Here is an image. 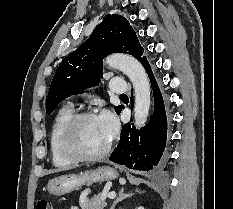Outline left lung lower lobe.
Here are the masks:
<instances>
[{
    "label": "left lung lower lobe",
    "mask_w": 233,
    "mask_h": 209,
    "mask_svg": "<svg viewBox=\"0 0 233 209\" xmlns=\"http://www.w3.org/2000/svg\"><path fill=\"white\" fill-rule=\"evenodd\" d=\"M140 62L149 76L153 89L154 113L140 131L135 128L134 124L123 125L120 141L109 160L130 169L149 171L159 164L164 152L167 139V118L163 97L147 58L143 57Z\"/></svg>",
    "instance_id": "left-lung-lower-lobe-1"
}]
</instances>
